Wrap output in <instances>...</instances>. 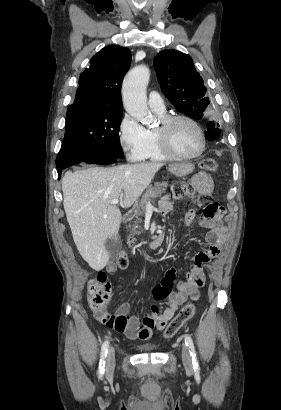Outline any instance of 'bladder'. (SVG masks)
Wrapping results in <instances>:
<instances>
[{
    "label": "bladder",
    "instance_id": "obj_1",
    "mask_svg": "<svg viewBox=\"0 0 281 410\" xmlns=\"http://www.w3.org/2000/svg\"><path fill=\"white\" fill-rule=\"evenodd\" d=\"M158 347L155 344H140L137 345V349L142 352H152L155 351Z\"/></svg>",
    "mask_w": 281,
    "mask_h": 410
}]
</instances>
